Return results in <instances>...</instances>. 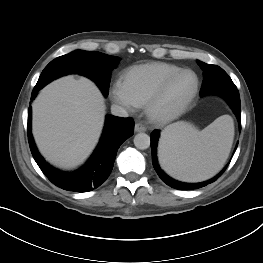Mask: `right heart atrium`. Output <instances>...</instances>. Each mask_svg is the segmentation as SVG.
Returning <instances> with one entry per match:
<instances>
[{
	"label": "right heart atrium",
	"mask_w": 263,
	"mask_h": 263,
	"mask_svg": "<svg viewBox=\"0 0 263 263\" xmlns=\"http://www.w3.org/2000/svg\"><path fill=\"white\" fill-rule=\"evenodd\" d=\"M111 98L116 104L125 109L132 110L137 107L136 103L128 94L124 83L121 81H116L113 84L111 88Z\"/></svg>",
	"instance_id": "1"
}]
</instances>
